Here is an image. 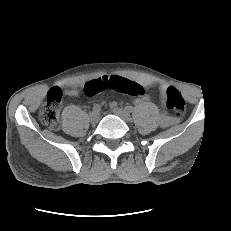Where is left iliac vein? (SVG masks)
Returning <instances> with one entry per match:
<instances>
[{"label":"left iliac vein","mask_w":231,"mask_h":231,"mask_svg":"<svg viewBox=\"0 0 231 231\" xmlns=\"http://www.w3.org/2000/svg\"><path fill=\"white\" fill-rule=\"evenodd\" d=\"M112 112L115 115L119 116L121 119H123L126 122H130L131 121L130 114L126 110H124V109L116 108L115 107V108L112 109Z\"/></svg>","instance_id":"left-iliac-vein-1"}]
</instances>
